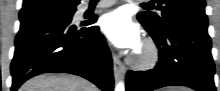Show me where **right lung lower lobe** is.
I'll return each mask as SVG.
<instances>
[{"label": "right lung lower lobe", "mask_w": 220, "mask_h": 91, "mask_svg": "<svg viewBox=\"0 0 220 91\" xmlns=\"http://www.w3.org/2000/svg\"><path fill=\"white\" fill-rule=\"evenodd\" d=\"M71 14H40L20 19L11 64V91L33 76L55 72L84 77L103 91L113 90L112 58L93 22L76 26Z\"/></svg>", "instance_id": "1"}]
</instances>
